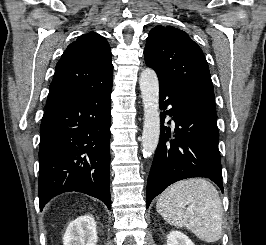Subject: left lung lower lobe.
I'll return each mask as SVG.
<instances>
[{
	"label": "left lung lower lobe",
	"mask_w": 266,
	"mask_h": 245,
	"mask_svg": "<svg viewBox=\"0 0 266 245\" xmlns=\"http://www.w3.org/2000/svg\"><path fill=\"white\" fill-rule=\"evenodd\" d=\"M161 122L166 114L175 122V139L170 129L161 127L158 147L147 182L146 207L170 184L191 177H206L223 192L219 132L216 112L159 83ZM170 123V121L168 122Z\"/></svg>",
	"instance_id": "1"
}]
</instances>
